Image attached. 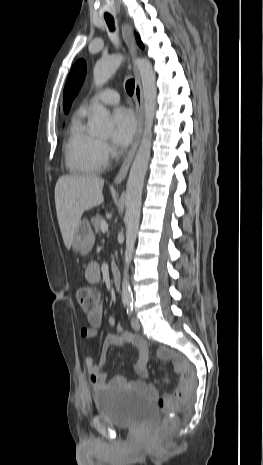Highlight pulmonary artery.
<instances>
[{"label": "pulmonary artery", "mask_w": 263, "mask_h": 465, "mask_svg": "<svg viewBox=\"0 0 263 465\" xmlns=\"http://www.w3.org/2000/svg\"><path fill=\"white\" fill-rule=\"evenodd\" d=\"M120 100V97H119V94L116 90L114 89H111V88H107L101 92H99L98 94L94 95L93 97H91L86 103H84L80 110L82 112H89L91 107L95 104V103H103V104H107V105H113V104H117Z\"/></svg>", "instance_id": "e3ab8cb5"}]
</instances>
